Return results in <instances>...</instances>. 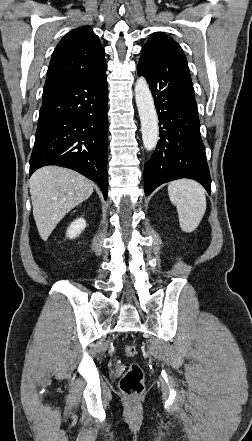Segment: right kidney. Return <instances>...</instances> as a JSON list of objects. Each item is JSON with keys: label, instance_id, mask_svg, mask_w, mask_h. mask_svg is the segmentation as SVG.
Masks as SVG:
<instances>
[{"label": "right kidney", "instance_id": "right-kidney-1", "mask_svg": "<svg viewBox=\"0 0 252 441\" xmlns=\"http://www.w3.org/2000/svg\"><path fill=\"white\" fill-rule=\"evenodd\" d=\"M86 227V221L84 218H77L74 220L67 229L66 235L70 239L78 237Z\"/></svg>", "mask_w": 252, "mask_h": 441}]
</instances>
